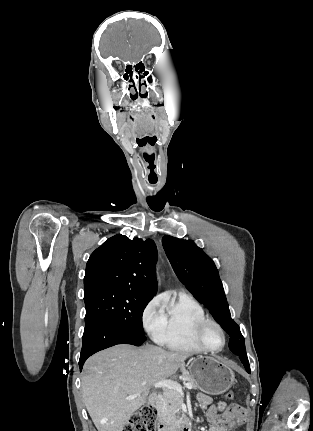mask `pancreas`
I'll return each instance as SVG.
<instances>
[{"label":"pancreas","mask_w":313,"mask_h":431,"mask_svg":"<svg viewBox=\"0 0 313 431\" xmlns=\"http://www.w3.org/2000/svg\"><path fill=\"white\" fill-rule=\"evenodd\" d=\"M185 380L192 384L193 389H198L199 386L196 381L189 375L188 372L184 373ZM180 394L174 389L165 388L163 393L159 396L156 409L168 424L175 425L180 420L185 418L184 412L181 407Z\"/></svg>","instance_id":"pancreas-1"}]
</instances>
